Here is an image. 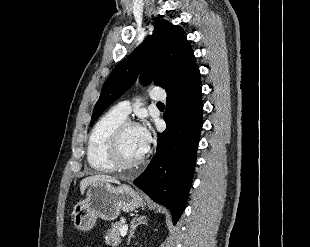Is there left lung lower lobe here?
<instances>
[{
  "mask_svg": "<svg viewBox=\"0 0 310 247\" xmlns=\"http://www.w3.org/2000/svg\"><path fill=\"white\" fill-rule=\"evenodd\" d=\"M200 72L197 68L182 83L167 92L164 120L157 151L146 170L134 180L153 201L166 206L173 224L185 209L203 125Z\"/></svg>",
  "mask_w": 310,
  "mask_h": 247,
  "instance_id": "0a47b994",
  "label": "left lung lower lobe"
}]
</instances>
